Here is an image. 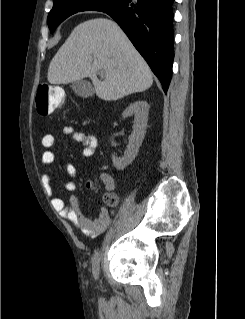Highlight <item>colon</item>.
Masks as SVG:
<instances>
[{
  "mask_svg": "<svg viewBox=\"0 0 245 319\" xmlns=\"http://www.w3.org/2000/svg\"><path fill=\"white\" fill-rule=\"evenodd\" d=\"M64 92L55 85L42 84L37 89L36 112L39 115H50L55 109L64 103ZM103 201L106 206L114 207L117 204V197L113 194H105Z\"/></svg>",
  "mask_w": 245,
  "mask_h": 319,
  "instance_id": "1",
  "label": "colon"
}]
</instances>
